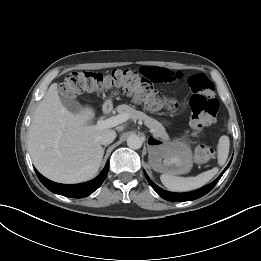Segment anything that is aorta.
<instances>
[{
    "instance_id": "aorta-1",
    "label": "aorta",
    "mask_w": 261,
    "mask_h": 261,
    "mask_svg": "<svg viewBox=\"0 0 261 261\" xmlns=\"http://www.w3.org/2000/svg\"><path fill=\"white\" fill-rule=\"evenodd\" d=\"M143 141L138 135H130L127 139V145L129 148L137 150L142 147Z\"/></svg>"
}]
</instances>
